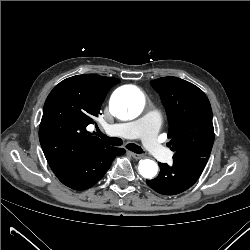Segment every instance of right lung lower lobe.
Here are the masks:
<instances>
[{
    "label": "right lung lower lobe",
    "mask_w": 250,
    "mask_h": 250,
    "mask_svg": "<svg viewBox=\"0 0 250 250\" xmlns=\"http://www.w3.org/2000/svg\"><path fill=\"white\" fill-rule=\"evenodd\" d=\"M125 153L122 148L105 146L91 151L80 160L52 167L56 177L74 190H84L96 184L110 168L118 155Z\"/></svg>",
    "instance_id": "1"
}]
</instances>
